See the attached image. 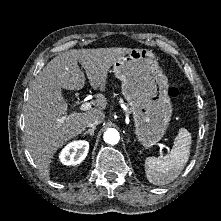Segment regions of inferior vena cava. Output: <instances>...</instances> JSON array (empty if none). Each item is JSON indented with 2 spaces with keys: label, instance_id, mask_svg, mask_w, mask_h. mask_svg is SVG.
Segmentation results:
<instances>
[{
  "label": "inferior vena cava",
  "instance_id": "obj_1",
  "mask_svg": "<svg viewBox=\"0 0 221 221\" xmlns=\"http://www.w3.org/2000/svg\"><path fill=\"white\" fill-rule=\"evenodd\" d=\"M101 122H102L101 118L100 117H96V118L90 120L88 122L87 126L93 128V127H95L96 125H98Z\"/></svg>",
  "mask_w": 221,
  "mask_h": 221
}]
</instances>
